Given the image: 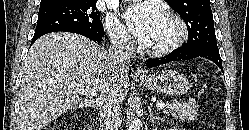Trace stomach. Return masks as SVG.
I'll return each instance as SVG.
<instances>
[{
	"label": "stomach",
	"instance_id": "obj_1",
	"mask_svg": "<svg viewBox=\"0 0 249 130\" xmlns=\"http://www.w3.org/2000/svg\"><path fill=\"white\" fill-rule=\"evenodd\" d=\"M138 82L152 91L168 96H181L190 88L187 77L176 70H162L154 75L138 78Z\"/></svg>",
	"mask_w": 249,
	"mask_h": 130
}]
</instances>
